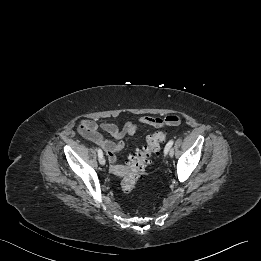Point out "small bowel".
<instances>
[{"mask_svg": "<svg viewBox=\"0 0 261 261\" xmlns=\"http://www.w3.org/2000/svg\"><path fill=\"white\" fill-rule=\"evenodd\" d=\"M172 118H176L178 122H172ZM180 122L181 119L176 114L168 115L165 118L140 116L136 121H127L122 126L111 122H101L98 124L94 120L84 119L78 124V132L94 144L100 146L106 152L109 162L114 166L117 161L116 154L125 147L123 138L134 135L140 125L161 128L163 126L178 125ZM99 129L111 135L115 140L103 138Z\"/></svg>", "mask_w": 261, "mask_h": 261, "instance_id": "1", "label": "small bowel"}]
</instances>
